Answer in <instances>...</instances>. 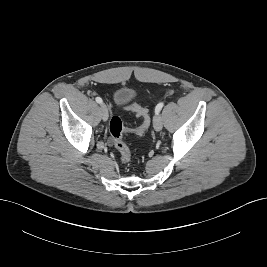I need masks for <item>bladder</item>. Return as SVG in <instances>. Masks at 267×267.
I'll list each match as a JSON object with an SVG mask.
<instances>
[{
  "mask_svg": "<svg viewBox=\"0 0 267 267\" xmlns=\"http://www.w3.org/2000/svg\"><path fill=\"white\" fill-rule=\"evenodd\" d=\"M135 97V91L127 86H121L113 92V101L117 106L130 103Z\"/></svg>",
  "mask_w": 267,
  "mask_h": 267,
  "instance_id": "bladder-1",
  "label": "bladder"
}]
</instances>
